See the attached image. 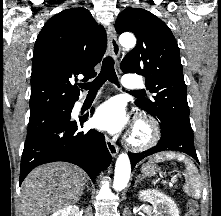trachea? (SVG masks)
<instances>
[{"mask_svg":"<svg viewBox=\"0 0 221 216\" xmlns=\"http://www.w3.org/2000/svg\"><path fill=\"white\" fill-rule=\"evenodd\" d=\"M107 80L119 86L118 78L114 69V60L110 56H107L103 60L99 75L90 83L80 84V88L89 90V93H96ZM132 93L143 94L142 91H132Z\"/></svg>","mask_w":221,"mask_h":216,"instance_id":"1","label":"trachea"}]
</instances>
